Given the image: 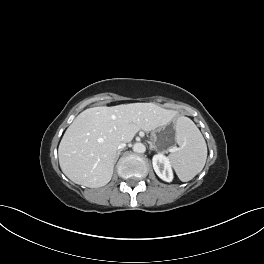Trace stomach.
<instances>
[{"mask_svg":"<svg viewBox=\"0 0 264 264\" xmlns=\"http://www.w3.org/2000/svg\"><path fill=\"white\" fill-rule=\"evenodd\" d=\"M177 127L173 123H165L161 129L152 132L151 138L159 149H167L175 144Z\"/></svg>","mask_w":264,"mask_h":264,"instance_id":"0dacf381","label":"stomach"}]
</instances>
